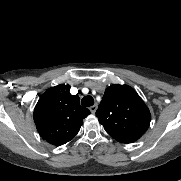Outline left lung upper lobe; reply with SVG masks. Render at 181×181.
<instances>
[{
    "mask_svg": "<svg viewBox=\"0 0 181 181\" xmlns=\"http://www.w3.org/2000/svg\"><path fill=\"white\" fill-rule=\"evenodd\" d=\"M96 116L110 136L126 144L138 140L147 131L151 121L148 107L128 85L109 86Z\"/></svg>",
    "mask_w": 181,
    "mask_h": 181,
    "instance_id": "left-lung-upper-lobe-1",
    "label": "left lung upper lobe"
}]
</instances>
